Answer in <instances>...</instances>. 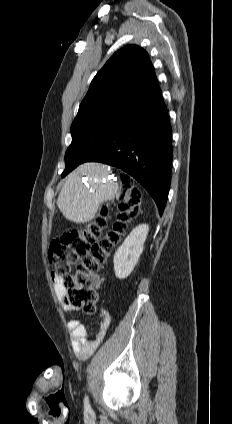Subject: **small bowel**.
<instances>
[{"label": "small bowel", "mask_w": 232, "mask_h": 424, "mask_svg": "<svg viewBox=\"0 0 232 424\" xmlns=\"http://www.w3.org/2000/svg\"><path fill=\"white\" fill-rule=\"evenodd\" d=\"M98 285L99 281L97 282V286ZM55 289L59 294H64V289L59 282L55 283ZM100 315L101 321L98 326V331L93 338L88 337L86 327L78 319H72L67 323L71 336L72 349L80 359L88 358L106 336L111 322V317L106 310H101Z\"/></svg>", "instance_id": "obj_1"}]
</instances>
